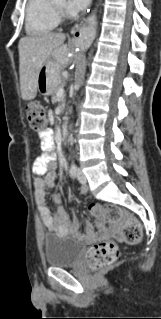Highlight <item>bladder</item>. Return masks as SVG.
<instances>
[{
	"label": "bladder",
	"instance_id": "bladder-1",
	"mask_svg": "<svg viewBox=\"0 0 161 319\" xmlns=\"http://www.w3.org/2000/svg\"><path fill=\"white\" fill-rule=\"evenodd\" d=\"M84 244L72 236L47 234L43 240L44 262L47 266L67 267L76 264Z\"/></svg>",
	"mask_w": 161,
	"mask_h": 319
}]
</instances>
